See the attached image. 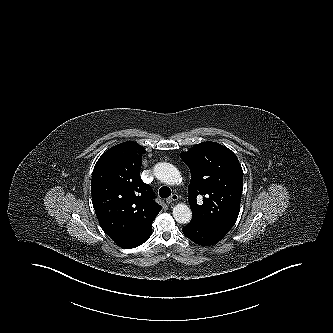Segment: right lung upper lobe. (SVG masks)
<instances>
[{
    "instance_id": "obj_1",
    "label": "right lung upper lobe",
    "mask_w": 333,
    "mask_h": 333,
    "mask_svg": "<svg viewBox=\"0 0 333 333\" xmlns=\"http://www.w3.org/2000/svg\"><path fill=\"white\" fill-rule=\"evenodd\" d=\"M145 152L132 141L113 146L101 155L92 174V203L100 226L122 248L143 244L162 208L140 178Z\"/></svg>"
}]
</instances>
